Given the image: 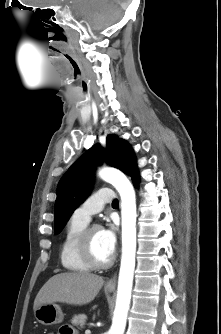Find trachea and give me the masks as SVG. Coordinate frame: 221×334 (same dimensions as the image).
I'll use <instances>...</instances> for the list:
<instances>
[{
	"label": "trachea",
	"mask_w": 221,
	"mask_h": 334,
	"mask_svg": "<svg viewBox=\"0 0 221 334\" xmlns=\"http://www.w3.org/2000/svg\"><path fill=\"white\" fill-rule=\"evenodd\" d=\"M112 205H118V200L115 199V200L112 202Z\"/></svg>",
	"instance_id": "trachea-1"
}]
</instances>
